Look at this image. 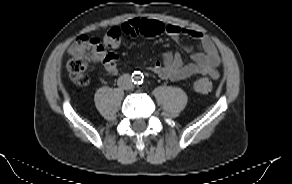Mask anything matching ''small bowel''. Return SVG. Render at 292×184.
<instances>
[{
    "mask_svg": "<svg viewBox=\"0 0 292 184\" xmlns=\"http://www.w3.org/2000/svg\"><path fill=\"white\" fill-rule=\"evenodd\" d=\"M147 19H130L124 22L120 29L123 34L136 37L142 34V25ZM160 22V21H159ZM163 33L174 40H178L180 35H186L198 43V49L192 52V61L185 63L180 54L166 52L163 55L162 62H154L147 66L148 71L158 75L162 79L178 81L191 77L195 74L218 76V68L221 64V58L213 41L204 33L195 30L180 27L176 24H164ZM192 50V48H189ZM95 62L103 65L104 70L109 75L118 73V56L109 51H101L93 58Z\"/></svg>",
    "mask_w": 292,
    "mask_h": 184,
    "instance_id": "obj_1",
    "label": "small bowel"
}]
</instances>
